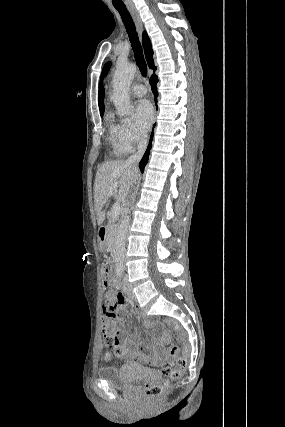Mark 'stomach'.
Here are the masks:
<instances>
[{"instance_id": "0dacf381", "label": "stomach", "mask_w": 285, "mask_h": 427, "mask_svg": "<svg viewBox=\"0 0 285 427\" xmlns=\"http://www.w3.org/2000/svg\"><path fill=\"white\" fill-rule=\"evenodd\" d=\"M99 247H100L101 250H105L106 243L105 242H100Z\"/></svg>"}]
</instances>
